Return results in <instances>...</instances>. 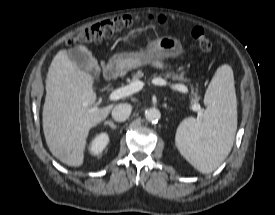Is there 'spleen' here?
Segmentation results:
<instances>
[{"label":"spleen","mask_w":275,"mask_h":215,"mask_svg":"<svg viewBox=\"0 0 275 215\" xmlns=\"http://www.w3.org/2000/svg\"><path fill=\"white\" fill-rule=\"evenodd\" d=\"M201 118L178 126L175 142L185 159L201 173L214 171L230 153L237 129V99L233 70L220 66L205 93Z\"/></svg>","instance_id":"obj_1"}]
</instances>
